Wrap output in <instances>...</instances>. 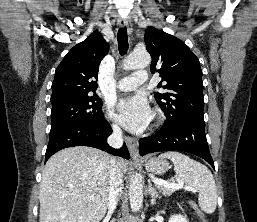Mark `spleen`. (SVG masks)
Returning <instances> with one entry per match:
<instances>
[{
	"instance_id": "obj_1",
	"label": "spleen",
	"mask_w": 257,
	"mask_h": 222,
	"mask_svg": "<svg viewBox=\"0 0 257 222\" xmlns=\"http://www.w3.org/2000/svg\"><path fill=\"white\" fill-rule=\"evenodd\" d=\"M160 157L173 162L178 180L197 189L199 207L205 213L212 214L217 206L218 195L211 171L202 163L179 152L162 153Z\"/></svg>"
}]
</instances>
